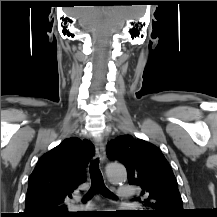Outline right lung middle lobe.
Here are the masks:
<instances>
[{
    "label": "right lung middle lobe",
    "mask_w": 217,
    "mask_h": 217,
    "mask_svg": "<svg viewBox=\"0 0 217 217\" xmlns=\"http://www.w3.org/2000/svg\"><path fill=\"white\" fill-rule=\"evenodd\" d=\"M56 217H65L64 215H57Z\"/></svg>",
    "instance_id": "1"
}]
</instances>
